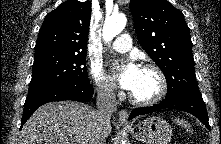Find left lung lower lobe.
Masks as SVG:
<instances>
[{"label": "left lung lower lobe", "instance_id": "1", "mask_svg": "<svg viewBox=\"0 0 221 144\" xmlns=\"http://www.w3.org/2000/svg\"><path fill=\"white\" fill-rule=\"evenodd\" d=\"M162 109H177L188 112L196 116L208 129H210L207 117V111L203 99H196L189 96H175L165 98L159 104L150 107H142L134 109L130 115L129 120L136 116L149 114Z\"/></svg>", "mask_w": 221, "mask_h": 144}]
</instances>
